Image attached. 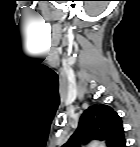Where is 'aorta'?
I'll return each mask as SVG.
<instances>
[{
    "label": "aorta",
    "instance_id": "1",
    "mask_svg": "<svg viewBox=\"0 0 140 147\" xmlns=\"http://www.w3.org/2000/svg\"><path fill=\"white\" fill-rule=\"evenodd\" d=\"M89 145L91 147H102L103 146V144L101 142H99V141H92V142H90Z\"/></svg>",
    "mask_w": 140,
    "mask_h": 147
}]
</instances>
